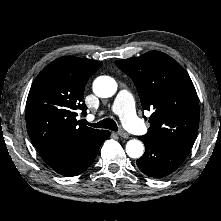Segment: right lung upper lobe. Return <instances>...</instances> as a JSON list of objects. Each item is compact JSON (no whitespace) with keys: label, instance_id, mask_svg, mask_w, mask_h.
<instances>
[{"label":"right lung upper lobe","instance_id":"obj_1","mask_svg":"<svg viewBox=\"0 0 221 221\" xmlns=\"http://www.w3.org/2000/svg\"><path fill=\"white\" fill-rule=\"evenodd\" d=\"M101 66V61L64 56L35 78L26 102V125L36 148L82 140L102 131L77 118L79 110L85 114L87 109L82 103L85 85Z\"/></svg>","mask_w":221,"mask_h":221}]
</instances>
